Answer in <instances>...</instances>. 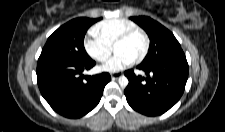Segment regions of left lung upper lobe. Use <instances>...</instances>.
Segmentation results:
<instances>
[{
    "label": "left lung upper lobe",
    "instance_id": "5c2ea615",
    "mask_svg": "<svg viewBox=\"0 0 225 132\" xmlns=\"http://www.w3.org/2000/svg\"><path fill=\"white\" fill-rule=\"evenodd\" d=\"M131 20L141 26L150 38V48L141 65L186 59L174 35L157 21L146 16L131 17Z\"/></svg>",
    "mask_w": 225,
    "mask_h": 132
}]
</instances>
